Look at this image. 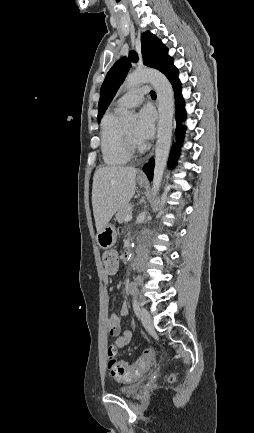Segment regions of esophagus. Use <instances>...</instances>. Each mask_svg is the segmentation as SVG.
Returning <instances> with one entry per match:
<instances>
[{"instance_id":"34e87169","label":"esophagus","mask_w":254,"mask_h":433,"mask_svg":"<svg viewBox=\"0 0 254 433\" xmlns=\"http://www.w3.org/2000/svg\"><path fill=\"white\" fill-rule=\"evenodd\" d=\"M151 155H152V153H151ZM150 155V156H151ZM139 177H141V178H145V174L143 173V172H141L140 174H139Z\"/></svg>"}]
</instances>
